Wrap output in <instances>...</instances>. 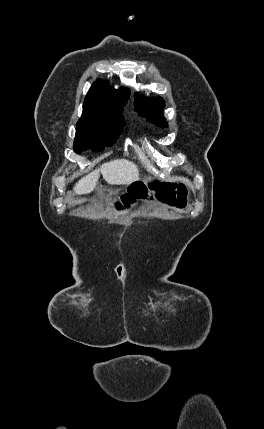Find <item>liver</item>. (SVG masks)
I'll return each instance as SVG.
<instances>
[{
    "label": "liver",
    "instance_id": "liver-1",
    "mask_svg": "<svg viewBox=\"0 0 264 429\" xmlns=\"http://www.w3.org/2000/svg\"><path fill=\"white\" fill-rule=\"evenodd\" d=\"M99 171L108 184H131L139 180L137 165L125 159L113 160L104 163L99 170H94L81 178L74 187L76 194H86L94 190Z\"/></svg>",
    "mask_w": 264,
    "mask_h": 429
}]
</instances>
